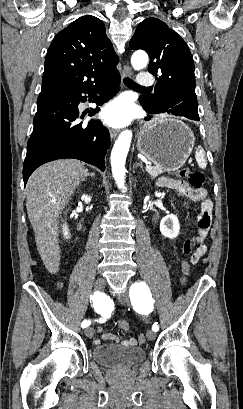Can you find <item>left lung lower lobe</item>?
<instances>
[{
  "instance_id": "0a47b994",
  "label": "left lung lower lobe",
  "mask_w": 243,
  "mask_h": 409,
  "mask_svg": "<svg viewBox=\"0 0 243 409\" xmlns=\"http://www.w3.org/2000/svg\"><path fill=\"white\" fill-rule=\"evenodd\" d=\"M139 101L149 114L146 120H150L152 118V115L154 114L169 113V114H174L176 116H182V117H186L191 120L199 121V115H198L197 109L189 103H183V104L177 105V103L168 101L157 107H150L146 105L141 100V98L139 99Z\"/></svg>"
}]
</instances>
